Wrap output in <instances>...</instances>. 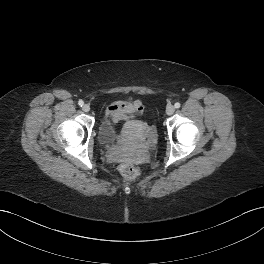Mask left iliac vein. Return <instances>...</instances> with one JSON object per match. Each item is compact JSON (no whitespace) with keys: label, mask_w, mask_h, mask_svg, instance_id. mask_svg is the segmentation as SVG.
<instances>
[{"label":"left iliac vein","mask_w":264,"mask_h":264,"mask_svg":"<svg viewBox=\"0 0 264 264\" xmlns=\"http://www.w3.org/2000/svg\"><path fill=\"white\" fill-rule=\"evenodd\" d=\"M175 111V107L173 105H168L167 108H166V113L168 115H172Z\"/></svg>","instance_id":"1"}]
</instances>
